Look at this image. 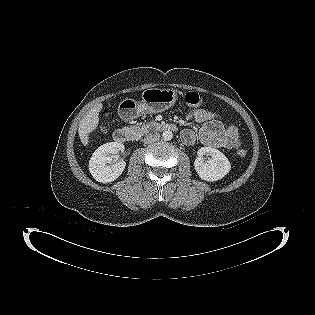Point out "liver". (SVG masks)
I'll return each mask as SVG.
<instances>
[{
  "label": "liver",
  "mask_w": 315,
  "mask_h": 315,
  "mask_svg": "<svg viewBox=\"0 0 315 315\" xmlns=\"http://www.w3.org/2000/svg\"><path fill=\"white\" fill-rule=\"evenodd\" d=\"M103 105L98 104L90 109L82 118L79 124V137L84 146L89 144V134L93 132L99 123V112L102 110Z\"/></svg>",
  "instance_id": "1"
}]
</instances>
